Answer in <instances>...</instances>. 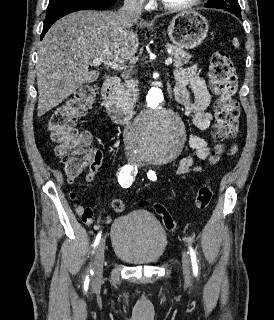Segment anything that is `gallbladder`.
Masks as SVG:
<instances>
[{"label":"gallbladder","instance_id":"obj_1","mask_svg":"<svg viewBox=\"0 0 274 320\" xmlns=\"http://www.w3.org/2000/svg\"><path fill=\"white\" fill-rule=\"evenodd\" d=\"M95 77H96L97 79H100V78L102 77V74H101L100 72H97V73L95 74Z\"/></svg>","mask_w":274,"mask_h":320}]
</instances>
